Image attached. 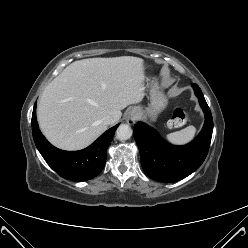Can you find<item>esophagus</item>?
Returning <instances> with one entry per match:
<instances>
[{
    "instance_id": "34e87169",
    "label": "esophagus",
    "mask_w": 248,
    "mask_h": 248,
    "mask_svg": "<svg viewBox=\"0 0 248 248\" xmlns=\"http://www.w3.org/2000/svg\"><path fill=\"white\" fill-rule=\"evenodd\" d=\"M139 117V113L136 110H131L126 116V122L128 124H134L137 118Z\"/></svg>"
}]
</instances>
